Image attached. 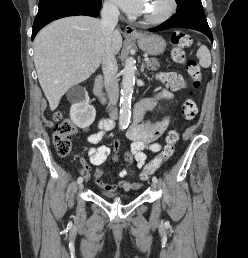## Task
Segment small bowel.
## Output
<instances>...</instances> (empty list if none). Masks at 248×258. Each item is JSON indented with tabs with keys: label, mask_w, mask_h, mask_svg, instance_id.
<instances>
[{
	"label": "small bowel",
	"mask_w": 248,
	"mask_h": 258,
	"mask_svg": "<svg viewBox=\"0 0 248 258\" xmlns=\"http://www.w3.org/2000/svg\"><path fill=\"white\" fill-rule=\"evenodd\" d=\"M181 79V77L176 73H170ZM158 97L169 99L171 94L168 91L162 90L158 93ZM156 104V99H146L141 101L136 107V112L134 116L133 123L127 130V138L131 141L130 150L132 154L135 155V162L138 168H143L147 164V155L145 150H149L152 153H158L162 149V145L157 141L161 138L167 128V120L163 119L156 123L142 122V115L151 110ZM113 127V123L108 120H103L99 123V131L88 136V141L92 145H98L105 132ZM88 154L90 157V162L92 165L99 166L103 164L110 154V148L106 145H100L99 147H90L88 149ZM89 166L85 164V169L87 170ZM102 172L98 169L94 171L95 184L108 192L116 190V188H121L125 191H131L137 188L136 184L130 183L125 180L119 181L117 184H109L100 179ZM126 175V171L120 173L121 177Z\"/></svg>",
	"instance_id": "1"
}]
</instances>
